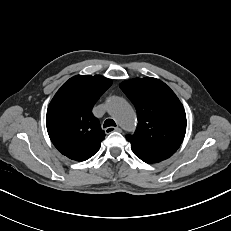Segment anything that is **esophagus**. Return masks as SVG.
<instances>
[{
  "label": "esophagus",
  "instance_id": "1",
  "mask_svg": "<svg viewBox=\"0 0 231 231\" xmlns=\"http://www.w3.org/2000/svg\"><path fill=\"white\" fill-rule=\"evenodd\" d=\"M121 131V129L119 128V127H107L106 129H105V132L107 133V134H110V133H112V132H120Z\"/></svg>",
  "mask_w": 231,
  "mask_h": 231
}]
</instances>
